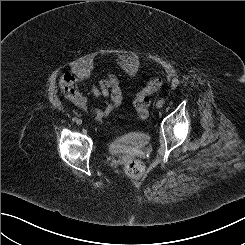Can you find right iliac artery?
Wrapping results in <instances>:
<instances>
[{"mask_svg": "<svg viewBox=\"0 0 245 245\" xmlns=\"http://www.w3.org/2000/svg\"><path fill=\"white\" fill-rule=\"evenodd\" d=\"M72 121H73V122L77 121V118H76V117H73V118H72Z\"/></svg>", "mask_w": 245, "mask_h": 245, "instance_id": "1", "label": "right iliac artery"}]
</instances>
